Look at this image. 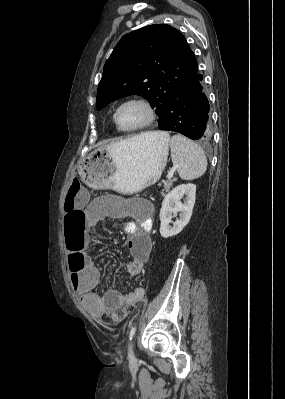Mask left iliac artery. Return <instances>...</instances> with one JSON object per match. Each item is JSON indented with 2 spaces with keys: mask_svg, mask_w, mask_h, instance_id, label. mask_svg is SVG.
Listing matches in <instances>:
<instances>
[{
  "mask_svg": "<svg viewBox=\"0 0 285 399\" xmlns=\"http://www.w3.org/2000/svg\"><path fill=\"white\" fill-rule=\"evenodd\" d=\"M135 331H136V326L132 327L131 330H130V334H129L130 340H132V337H133Z\"/></svg>",
  "mask_w": 285,
  "mask_h": 399,
  "instance_id": "1",
  "label": "left iliac artery"
}]
</instances>
